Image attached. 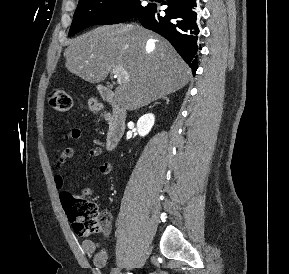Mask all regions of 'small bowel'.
Masks as SVG:
<instances>
[{"mask_svg": "<svg viewBox=\"0 0 289 274\" xmlns=\"http://www.w3.org/2000/svg\"><path fill=\"white\" fill-rule=\"evenodd\" d=\"M64 138L75 140L82 139L83 131L80 128H72L64 135ZM75 152L76 150L73 146L66 147L57 159V167L60 168L67 160L73 158ZM101 153L100 141L95 140V146L89 149V154L93 157H97ZM111 170L112 164L110 162H105L99 166V172L101 174H108ZM54 184L58 190H62L66 185L65 177L61 173L55 174ZM81 247L86 255L93 256V263L97 268H104L108 264V252L99 242L92 239H85L82 241Z\"/></svg>", "mask_w": 289, "mask_h": 274, "instance_id": "obj_1", "label": "small bowel"}]
</instances>
